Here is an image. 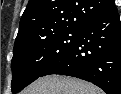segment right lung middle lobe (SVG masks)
Masks as SVG:
<instances>
[{
  "mask_svg": "<svg viewBox=\"0 0 121 94\" xmlns=\"http://www.w3.org/2000/svg\"><path fill=\"white\" fill-rule=\"evenodd\" d=\"M79 30L66 29L49 34L33 33L14 45L12 58L13 93L21 91L53 64L66 55L76 44Z\"/></svg>",
  "mask_w": 121,
  "mask_h": 94,
  "instance_id": "obj_1",
  "label": "right lung middle lobe"
}]
</instances>
